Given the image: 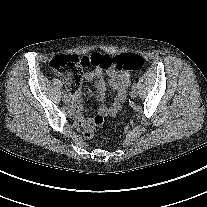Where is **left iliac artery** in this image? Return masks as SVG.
<instances>
[{"label":"left iliac artery","mask_w":207,"mask_h":207,"mask_svg":"<svg viewBox=\"0 0 207 207\" xmlns=\"http://www.w3.org/2000/svg\"><path fill=\"white\" fill-rule=\"evenodd\" d=\"M135 88H137V85L136 84H133L132 85V89H135Z\"/></svg>","instance_id":"1"}]
</instances>
